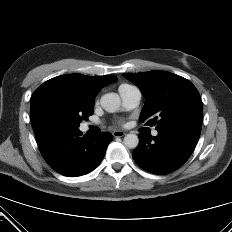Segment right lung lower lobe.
<instances>
[{
    "label": "right lung lower lobe",
    "mask_w": 232,
    "mask_h": 232,
    "mask_svg": "<svg viewBox=\"0 0 232 232\" xmlns=\"http://www.w3.org/2000/svg\"><path fill=\"white\" fill-rule=\"evenodd\" d=\"M79 130H54L36 134L46 162L65 176H81L94 170L102 161L113 137L108 132L82 138Z\"/></svg>",
    "instance_id": "1"
}]
</instances>
